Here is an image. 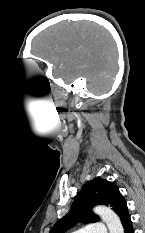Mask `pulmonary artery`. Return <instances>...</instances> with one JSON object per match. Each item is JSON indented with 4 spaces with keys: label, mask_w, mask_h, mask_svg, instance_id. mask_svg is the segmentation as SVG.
I'll return each instance as SVG.
<instances>
[{
    "label": "pulmonary artery",
    "mask_w": 145,
    "mask_h": 233,
    "mask_svg": "<svg viewBox=\"0 0 145 233\" xmlns=\"http://www.w3.org/2000/svg\"><path fill=\"white\" fill-rule=\"evenodd\" d=\"M73 233H107V228L104 223L90 224L84 228L73 231Z\"/></svg>",
    "instance_id": "e3ab8cb5"
}]
</instances>
